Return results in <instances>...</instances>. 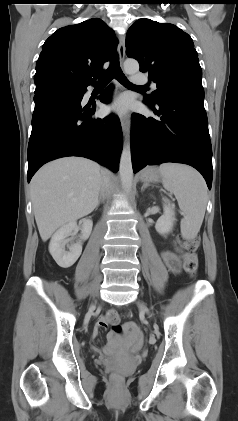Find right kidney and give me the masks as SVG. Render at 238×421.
I'll return each instance as SVG.
<instances>
[{"label":"right kidney","mask_w":238,"mask_h":421,"mask_svg":"<svg viewBox=\"0 0 238 421\" xmlns=\"http://www.w3.org/2000/svg\"><path fill=\"white\" fill-rule=\"evenodd\" d=\"M75 221L69 222L62 226L52 236L49 244V252L56 263L62 268L71 267L79 258L82 252V243L78 242L69 246V251L65 250L67 244V237L71 235L72 231L76 228ZM93 222L90 219H85L81 229V240L89 238L92 231Z\"/></svg>","instance_id":"1"}]
</instances>
